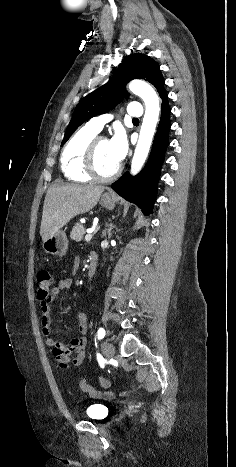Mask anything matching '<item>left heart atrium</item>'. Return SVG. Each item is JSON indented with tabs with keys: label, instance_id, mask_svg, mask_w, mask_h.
I'll return each mask as SVG.
<instances>
[{
	"label": "left heart atrium",
	"instance_id": "left-heart-atrium-1",
	"mask_svg": "<svg viewBox=\"0 0 236 467\" xmlns=\"http://www.w3.org/2000/svg\"><path fill=\"white\" fill-rule=\"evenodd\" d=\"M108 142L112 156L118 163L121 162L128 151V143L124 130L121 128L116 129Z\"/></svg>",
	"mask_w": 236,
	"mask_h": 467
}]
</instances>
